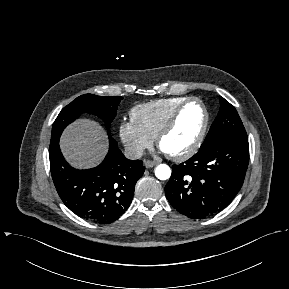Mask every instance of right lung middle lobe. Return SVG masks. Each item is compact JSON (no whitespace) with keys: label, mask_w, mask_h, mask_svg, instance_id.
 I'll use <instances>...</instances> for the list:
<instances>
[{"label":"right lung middle lobe","mask_w":289,"mask_h":289,"mask_svg":"<svg viewBox=\"0 0 289 289\" xmlns=\"http://www.w3.org/2000/svg\"><path fill=\"white\" fill-rule=\"evenodd\" d=\"M123 98L84 94L64 107L53 123L50 149L58 142L61 133L67 125L78 118L82 113L95 114L102 118L109 130L111 122L116 116L117 107Z\"/></svg>","instance_id":"right-lung-middle-lobe-1"}]
</instances>
